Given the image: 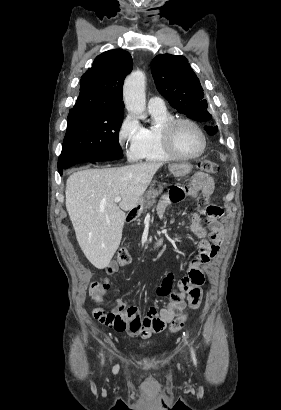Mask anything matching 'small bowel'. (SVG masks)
Wrapping results in <instances>:
<instances>
[{
  "label": "small bowel",
  "instance_id": "obj_1",
  "mask_svg": "<svg viewBox=\"0 0 281 410\" xmlns=\"http://www.w3.org/2000/svg\"><path fill=\"white\" fill-rule=\"evenodd\" d=\"M213 189L214 181L210 176L203 173H196L194 175L191 190L193 195L200 193L202 196L210 197ZM170 203L171 201L167 194L160 199L157 205L159 217L162 218L164 216ZM218 218L219 216L208 214L204 219L196 213L191 215L190 228L192 232L198 237L207 238L200 242V251L191 261L186 276L178 283V292L171 293L174 281L172 272H168L161 284L156 288L157 296L169 298L165 308L157 309L151 307L147 315L141 319L136 308L128 307L123 301H117L114 312L124 315H127L130 311L134 312L129 318V322L132 325L124 330L130 337L141 336L142 338H149L152 334L161 332L165 325L174 318L176 313L185 307L186 301L192 306L195 297L199 301L201 300L200 287L205 281L202 267L217 256L224 237V230ZM118 269L119 267L116 263H110L105 268L108 275L115 274ZM105 282L109 284V279H106Z\"/></svg>",
  "mask_w": 281,
  "mask_h": 410
}]
</instances>
